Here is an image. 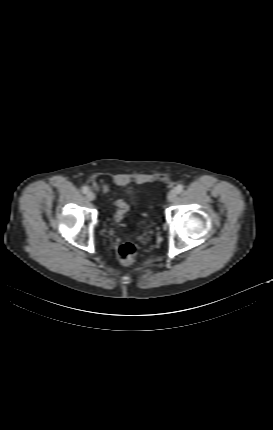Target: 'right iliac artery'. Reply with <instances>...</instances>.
<instances>
[{"mask_svg": "<svg viewBox=\"0 0 273 430\" xmlns=\"http://www.w3.org/2000/svg\"><path fill=\"white\" fill-rule=\"evenodd\" d=\"M88 190H89V188H88L87 186H84V187L82 188V192H83V193H87V192H88Z\"/></svg>", "mask_w": 273, "mask_h": 430, "instance_id": "right-iliac-artery-1", "label": "right iliac artery"}]
</instances>
